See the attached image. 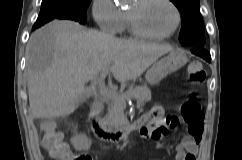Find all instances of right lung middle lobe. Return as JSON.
Returning <instances> with one entry per match:
<instances>
[{"label":"right lung middle lobe","instance_id":"obj_1","mask_svg":"<svg viewBox=\"0 0 242 160\" xmlns=\"http://www.w3.org/2000/svg\"><path fill=\"white\" fill-rule=\"evenodd\" d=\"M90 2L91 0H42L41 11L33 29L53 19H70L85 24Z\"/></svg>","mask_w":242,"mask_h":160}]
</instances>
